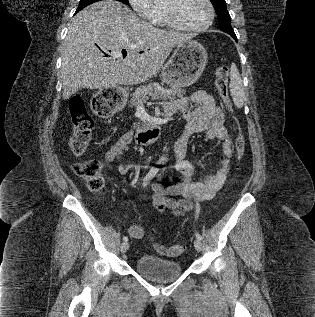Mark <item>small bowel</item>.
<instances>
[{
  "mask_svg": "<svg viewBox=\"0 0 315 317\" xmlns=\"http://www.w3.org/2000/svg\"><path fill=\"white\" fill-rule=\"evenodd\" d=\"M165 110L171 113L180 112L186 121L174 149V168L181 174V180L167 187L152 183L151 203L158 212L169 210L174 215H183L194 208L195 201L210 200L223 186L232 163L234 128L225 126L223 110L210 94L202 90L170 101ZM199 132H205L210 143L220 142L222 152L218 167L202 179H199L197 166L186 158L188 140ZM131 139V132L124 133L104 155L106 163L118 162L120 173H126L132 167L130 163L123 162ZM173 195H181L182 199L169 197ZM156 233L157 230H154L151 236ZM129 235L133 239H141L144 237V229L141 225L134 224L129 227Z\"/></svg>",
  "mask_w": 315,
  "mask_h": 317,
  "instance_id": "c3829d8e",
  "label": "small bowel"
}]
</instances>
